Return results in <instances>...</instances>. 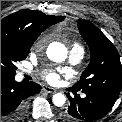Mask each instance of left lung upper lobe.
I'll use <instances>...</instances> for the list:
<instances>
[{
    "label": "left lung upper lobe",
    "mask_w": 122,
    "mask_h": 122,
    "mask_svg": "<svg viewBox=\"0 0 122 122\" xmlns=\"http://www.w3.org/2000/svg\"><path fill=\"white\" fill-rule=\"evenodd\" d=\"M78 28L90 48L91 58L80 81L70 89L118 97L122 87V65L115 46L100 29L84 19L78 20Z\"/></svg>",
    "instance_id": "1"
}]
</instances>
